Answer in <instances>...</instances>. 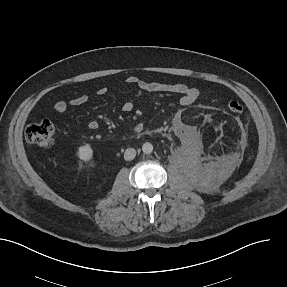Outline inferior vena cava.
Instances as JSON below:
<instances>
[{
    "label": "inferior vena cava",
    "mask_w": 287,
    "mask_h": 287,
    "mask_svg": "<svg viewBox=\"0 0 287 287\" xmlns=\"http://www.w3.org/2000/svg\"><path fill=\"white\" fill-rule=\"evenodd\" d=\"M136 156V150L134 148H128L125 150L124 159L126 161L133 160Z\"/></svg>",
    "instance_id": "1"
}]
</instances>
